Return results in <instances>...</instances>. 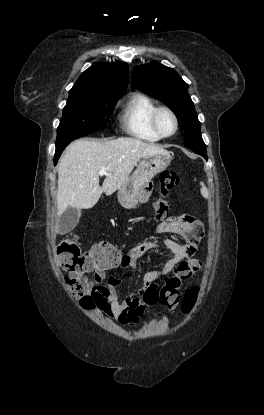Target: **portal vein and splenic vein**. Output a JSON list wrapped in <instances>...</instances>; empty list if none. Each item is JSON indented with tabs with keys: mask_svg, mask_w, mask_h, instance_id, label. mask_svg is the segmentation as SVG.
I'll return each instance as SVG.
<instances>
[{
	"mask_svg": "<svg viewBox=\"0 0 264 415\" xmlns=\"http://www.w3.org/2000/svg\"><path fill=\"white\" fill-rule=\"evenodd\" d=\"M99 175H100V176H103V175H109V174H108V172H107L106 168H102V169L99 171Z\"/></svg>",
	"mask_w": 264,
	"mask_h": 415,
	"instance_id": "1",
	"label": "portal vein and splenic vein"
}]
</instances>
